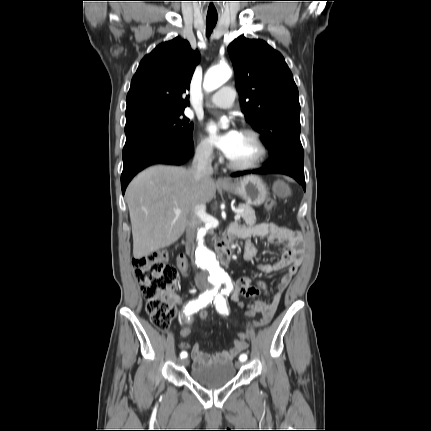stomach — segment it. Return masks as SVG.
<instances>
[{"label":"stomach","mask_w":431,"mask_h":431,"mask_svg":"<svg viewBox=\"0 0 431 431\" xmlns=\"http://www.w3.org/2000/svg\"><path fill=\"white\" fill-rule=\"evenodd\" d=\"M229 193L240 196L247 205L260 206L267 197V188L263 181L257 176H247L240 180H234L227 185L221 186ZM281 196H287L289 190L285 186H275Z\"/></svg>","instance_id":"stomach-1"}]
</instances>
